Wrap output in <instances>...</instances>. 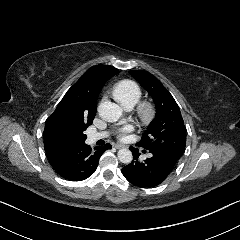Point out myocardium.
<instances>
[{
	"mask_svg": "<svg viewBox=\"0 0 240 240\" xmlns=\"http://www.w3.org/2000/svg\"><path fill=\"white\" fill-rule=\"evenodd\" d=\"M138 115L143 124H150L156 115L155 106L148 101L142 102L138 108Z\"/></svg>",
	"mask_w": 240,
	"mask_h": 240,
	"instance_id": "obj_1",
	"label": "myocardium"
}]
</instances>
